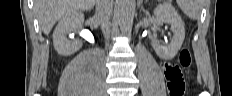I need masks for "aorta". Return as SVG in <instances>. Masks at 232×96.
<instances>
[{
	"mask_svg": "<svg viewBox=\"0 0 232 96\" xmlns=\"http://www.w3.org/2000/svg\"><path fill=\"white\" fill-rule=\"evenodd\" d=\"M134 9L133 0H119L118 21L121 30H126L132 24Z\"/></svg>",
	"mask_w": 232,
	"mask_h": 96,
	"instance_id": "762f6f07",
	"label": "aorta"
}]
</instances>
